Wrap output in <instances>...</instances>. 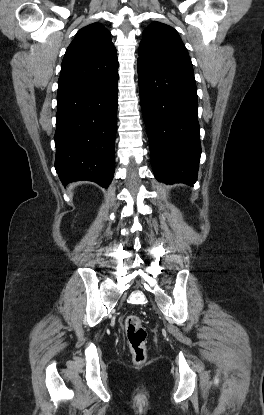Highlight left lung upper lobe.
I'll list each match as a JSON object with an SVG mask.
<instances>
[{"instance_id": "1", "label": "left lung upper lobe", "mask_w": 264, "mask_h": 415, "mask_svg": "<svg viewBox=\"0 0 264 415\" xmlns=\"http://www.w3.org/2000/svg\"><path fill=\"white\" fill-rule=\"evenodd\" d=\"M138 60L164 70L194 75L189 54L177 31L157 21L143 31Z\"/></svg>"}]
</instances>
